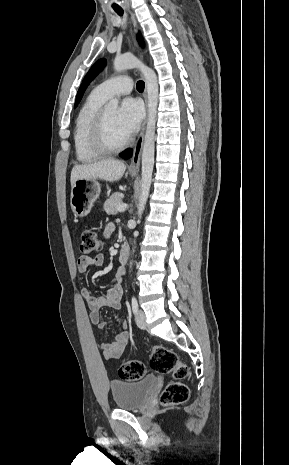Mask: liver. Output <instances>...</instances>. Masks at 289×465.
I'll list each match as a JSON object with an SVG mask.
<instances>
[{"label": "liver", "instance_id": "obj_1", "mask_svg": "<svg viewBox=\"0 0 289 465\" xmlns=\"http://www.w3.org/2000/svg\"><path fill=\"white\" fill-rule=\"evenodd\" d=\"M126 170L124 162L107 159L89 164L76 165L71 171V186L78 179H102L105 181H118Z\"/></svg>", "mask_w": 289, "mask_h": 465}]
</instances>
